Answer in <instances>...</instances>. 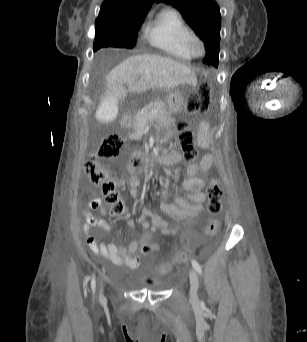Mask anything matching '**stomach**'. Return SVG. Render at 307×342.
Segmentation results:
<instances>
[{"instance_id":"1","label":"stomach","mask_w":307,"mask_h":342,"mask_svg":"<svg viewBox=\"0 0 307 342\" xmlns=\"http://www.w3.org/2000/svg\"><path fill=\"white\" fill-rule=\"evenodd\" d=\"M194 90L193 86L183 85L180 89L175 90L167 99V108L170 113H178L186 107L187 99Z\"/></svg>"}]
</instances>
